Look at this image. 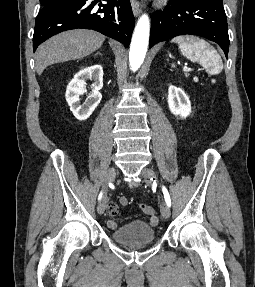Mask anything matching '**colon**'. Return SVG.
<instances>
[{"label": "colon", "instance_id": "colon-1", "mask_svg": "<svg viewBox=\"0 0 255 287\" xmlns=\"http://www.w3.org/2000/svg\"><path fill=\"white\" fill-rule=\"evenodd\" d=\"M140 208L145 214H147L149 216H156V212H155V209L153 207L146 205V204H141Z\"/></svg>", "mask_w": 255, "mask_h": 287}]
</instances>
